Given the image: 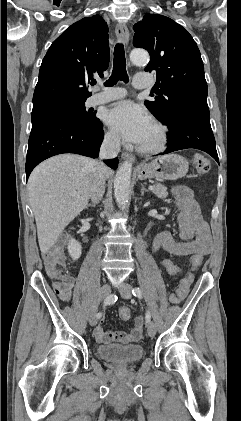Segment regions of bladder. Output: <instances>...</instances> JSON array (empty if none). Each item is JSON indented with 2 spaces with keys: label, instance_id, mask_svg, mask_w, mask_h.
<instances>
[{
  "label": "bladder",
  "instance_id": "obj_1",
  "mask_svg": "<svg viewBox=\"0 0 241 421\" xmlns=\"http://www.w3.org/2000/svg\"><path fill=\"white\" fill-rule=\"evenodd\" d=\"M96 350L101 359L117 365L135 363L144 355V349L139 344L98 345Z\"/></svg>",
  "mask_w": 241,
  "mask_h": 421
}]
</instances>
